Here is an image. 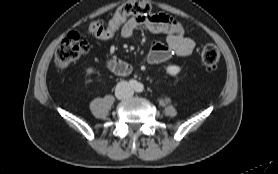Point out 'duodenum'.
Segmentation results:
<instances>
[{
	"mask_svg": "<svg viewBox=\"0 0 278 174\" xmlns=\"http://www.w3.org/2000/svg\"><path fill=\"white\" fill-rule=\"evenodd\" d=\"M109 67L114 73L119 75L126 74L130 70V67L127 63L116 59L110 61Z\"/></svg>",
	"mask_w": 278,
	"mask_h": 174,
	"instance_id": "duodenum-1",
	"label": "duodenum"
}]
</instances>
